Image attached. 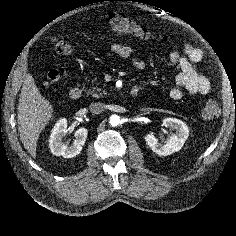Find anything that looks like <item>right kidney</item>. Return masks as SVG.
I'll return each mask as SVG.
<instances>
[{"label":"right kidney","instance_id":"obj_1","mask_svg":"<svg viewBox=\"0 0 236 236\" xmlns=\"http://www.w3.org/2000/svg\"><path fill=\"white\" fill-rule=\"evenodd\" d=\"M67 133V120L65 118L60 119L52 129V133L49 139V147L55 156H63L64 158H72L77 156L82 146L85 144L88 131L85 128H79L75 131V139L73 144L68 146L62 142L63 137Z\"/></svg>","mask_w":236,"mask_h":236}]
</instances>
